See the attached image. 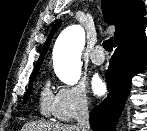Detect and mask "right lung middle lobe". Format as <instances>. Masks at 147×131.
<instances>
[{"label":"right lung middle lobe","instance_id":"dd1d6c3e","mask_svg":"<svg viewBox=\"0 0 147 131\" xmlns=\"http://www.w3.org/2000/svg\"><path fill=\"white\" fill-rule=\"evenodd\" d=\"M36 74H37V71H36V72H33V74H32L31 82L29 83L28 90H27V94H26V96H25V101L27 100V98H28V96H29V94H30V92H31L32 85H33V81H34V79H35V77H36Z\"/></svg>","mask_w":147,"mask_h":131}]
</instances>
